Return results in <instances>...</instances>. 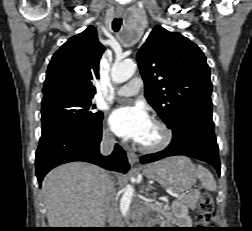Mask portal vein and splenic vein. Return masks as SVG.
<instances>
[{
    "mask_svg": "<svg viewBox=\"0 0 252 231\" xmlns=\"http://www.w3.org/2000/svg\"><path fill=\"white\" fill-rule=\"evenodd\" d=\"M173 196L180 199V198L184 197L185 194L184 193L183 194H174Z\"/></svg>",
    "mask_w": 252,
    "mask_h": 231,
    "instance_id": "obj_1",
    "label": "portal vein and splenic vein"
}]
</instances>
